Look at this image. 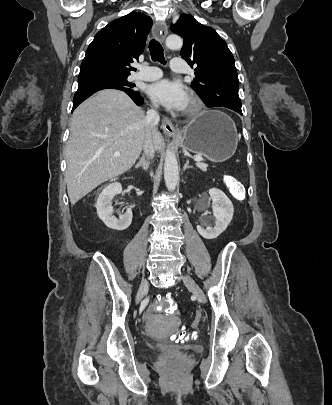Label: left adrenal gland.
<instances>
[{"mask_svg": "<svg viewBox=\"0 0 332 405\" xmlns=\"http://www.w3.org/2000/svg\"><path fill=\"white\" fill-rule=\"evenodd\" d=\"M188 168H192L191 166H189V160H186V164L183 167V170L185 171Z\"/></svg>", "mask_w": 332, "mask_h": 405, "instance_id": "left-adrenal-gland-1", "label": "left adrenal gland"}]
</instances>
